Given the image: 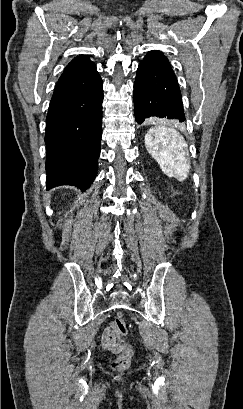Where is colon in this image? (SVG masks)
Wrapping results in <instances>:
<instances>
[{"instance_id":"obj_1","label":"colon","mask_w":243,"mask_h":409,"mask_svg":"<svg viewBox=\"0 0 243 409\" xmlns=\"http://www.w3.org/2000/svg\"><path fill=\"white\" fill-rule=\"evenodd\" d=\"M116 337L122 342L123 349L121 353L114 359L112 367L118 370H123L131 364L133 349L126 341L127 326L122 314H118L113 322Z\"/></svg>"}]
</instances>
